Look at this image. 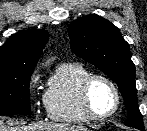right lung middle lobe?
I'll return each instance as SVG.
<instances>
[{"label": "right lung middle lobe", "instance_id": "1", "mask_svg": "<svg viewBox=\"0 0 147 131\" xmlns=\"http://www.w3.org/2000/svg\"><path fill=\"white\" fill-rule=\"evenodd\" d=\"M33 69H0V115L30 113L29 83Z\"/></svg>", "mask_w": 147, "mask_h": 131}]
</instances>
